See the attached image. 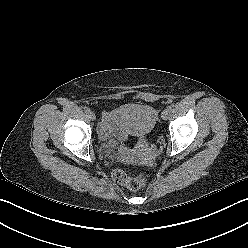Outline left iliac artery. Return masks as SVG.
<instances>
[{
  "label": "left iliac artery",
  "instance_id": "44dca946",
  "mask_svg": "<svg viewBox=\"0 0 248 248\" xmlns=\"http://www.w3.org/2000/svg\"><path fill=\"white\" fill-rule=\"evenodd\" d=\"M167 108H168L170 111L172 110V107H171V106H168Z\"/></svg>",
  "mask_w": 248,
  "mask_h": 248
}]
</instances>
